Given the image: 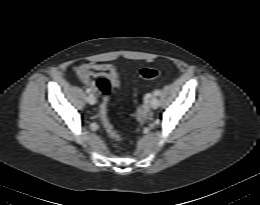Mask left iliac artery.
Listing matches in <instances>:
<instances>
[{
	"label": "left iliac artery",
	"instance_id": "obj_1",
	"mask_svg": "<svg viewBox=\"0 0 260 205\" xmlns=\"http://www.w3.org/2000/svg\"><path fill=\"white\" fill-rule=\"evenodd\" d=\"M154 94H155L156 96H158V95L160 94V90H155V91H154Z\"/></svg>",
	"mask_w": 260,
	"mask_h": 205
}]
</instances>
